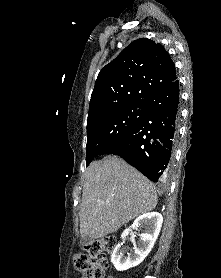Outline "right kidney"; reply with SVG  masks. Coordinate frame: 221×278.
<instances>
[{"label":"right kidney","instance_id":"ca27d5eb","mask_svg":"<svg viewBox=\"0 0 221 278\" xmlns=\"http://www.w3.org/2000/svg\"><path fill=\"white\" fill-rule=\"evenodd\" d=\"M163 217L158 212H150L139 216L130 228H127L121 238L125 239L131 229H137L139 226L145 227V232L140 235V240L134 245L133 250L127 253L122 250V243H119L111 256V261L118 271H124L139 265L150 253L154 243L159 235Z\"/></svg>","mask_w":221,"mask_h":278}]
</instances>
